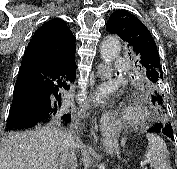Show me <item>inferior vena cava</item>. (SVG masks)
Segmentation results:
<instances>
[{"instance_id": "obj_1", "label": "inferior vena cava", "mask_w": 177, "mask_h": 169, "mask_svg": "<svg viewBox=\"0 0 177 169\" xmlns=\"http://www.w3.org/2000/svg\"><path fill=\"white\" fill-rule=\"evenodd\" d=\"M75 147L74 137L70 134H64L58 146L61 154L60 169H68L66 168L68 165H70V169H76Z\"/></svg>"}]
</instances>
